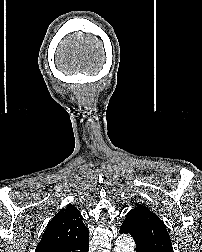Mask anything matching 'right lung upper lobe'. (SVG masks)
Masks as SVG:
<instances>
[{
	"mask_svg": "<svg viewBox=\"0 0 202 252\" xmlns=\"http://www.w3.org/2000/svg\"><path fill=\"white\" fill-rule=\"evenodd\" d=\"M72 205L61 209L49 222L35 252H86L89 230Z\"/></svg>",
	"mask_w": 202,
	"mask_h": 252,
	"instance_id": "obj_1",
	"label": "right lung upper lobe"
}]
</instances>
